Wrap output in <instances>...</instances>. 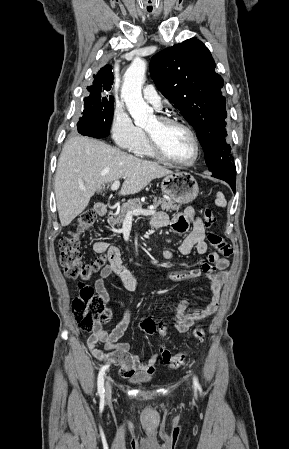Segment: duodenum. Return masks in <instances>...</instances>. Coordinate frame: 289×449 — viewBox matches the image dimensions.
<instances>
[{
    "label": "duodenum",
    "mask_w": 289,
    "mask_h": 449,
    "mask_svg": "<svg viewBox=\"0 0 289 449\" xmlns=\"http://www.w3.org/2000/svg\"><path fill=\"white\" fill-rule=\"evenodd\" d=\"M98 212L100 215H105L107 213V209L104 206L98 208Z\"/></svg>",
    "instance_id": "duodenum-1"
}]
</instances>
